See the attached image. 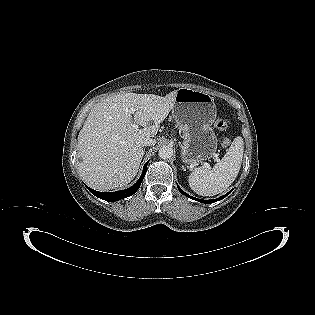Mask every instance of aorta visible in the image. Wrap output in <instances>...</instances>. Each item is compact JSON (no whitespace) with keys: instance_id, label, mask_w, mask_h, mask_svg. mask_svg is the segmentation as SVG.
I'll use <instances>...</instances> for the list:
<instances>
[{"instance_id":"aorta-1","label":"aorta","mask_w":315,"mask_h":315,"mask_svg":"<svg viewBox=\"0 0 315 315\" xmlns=\"http://www.w3.org/2000/svg\"><path fill=\"white\" fill-rule=\"evenodd\" d=\"M158 155L162 159H169L173 155V148L171 146H163L159 149Z\"/></svg>"}]
</instances>
